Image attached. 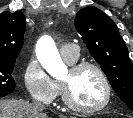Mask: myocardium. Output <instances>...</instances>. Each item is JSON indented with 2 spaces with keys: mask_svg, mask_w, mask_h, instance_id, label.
Returning a JSON list of instances; mask_svg holds the SVG:
<instances>
[{
  "mask_svg": "<svg viewBox=\"0 0 133 118\" xmlns=\"http://www.w3.org/2000/svg\"><path fill=\"white\" fill-rule=\"evenodd\" d=\"M87 68L95 70L103 82L105 88V98L100 104L93 107L81 106L73 100L70 93L69 84L66 81H61L60 87H61L63 102L70 110L78 113L94 114L104 110L109 105L112 98V86L105 71L96 63L89 61L76 62L71 65L69 70L72 75H76L77 73Z\"/></svg>",
  "mask_w": 133,
  "mask_h": 118,
  "instance_id": "1",
  "label": "myocardium"
}]
</instances>
